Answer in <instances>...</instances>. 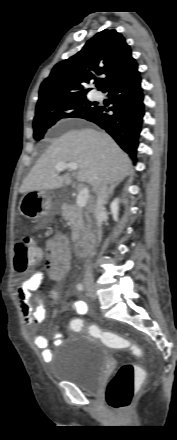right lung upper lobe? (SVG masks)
<instances>
[{
  "mask_svg": "<svg viewBox=\"0 0 177 440\" xmlns=\"http://www.w3.org/2000/svg\"><path fill=\"white\" fill-rule=\"evenodd\" d=\"M137 66L130 46L116 30L105 29L92 37L74 56L56 64L39 90L37 107L55 100L86 95L89 82L104 91ZM102 75L103 78H98Z\"/></svg>",
  "mask_w": 177,
  "mask_h": 440,
  "instance_id": "1",
  "label": "right lung upper lobe"
}]
</instances>
